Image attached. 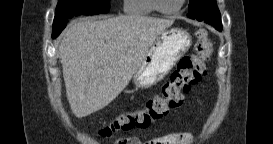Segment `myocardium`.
Returning a JSON list of instances; mask_svg holds the SVG:
<instances>
[{
	"label": "myocardium",
	"mask_w": 273,
	"mask_h": 144,
	"mask_svg": "<svg viewBox=\"0 0 273 144\" xmlns=\"http://www.w3.org/2000/svg\"><path fill=\"white\" fill-rule=\"evenodd\" d=\"M184 2H185V0H180L178 6L176 8L168 9V10L162 8L161 0H152V6L155 11L162 13V14L170 15V14L177 13L181 9V7L183 6Z\"/></svg>",
	"instance_id": "f54148a6"
}]
</instances>
